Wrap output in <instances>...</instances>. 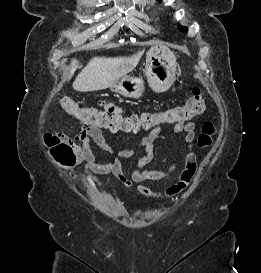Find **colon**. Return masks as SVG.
<instances>
[{
	"label": "colon",
	"instance_id": "5ec220e1",
	"mask_svg": "<svg viewBox=\"0 0 261 273\" xmlns=\"http://www.w3.org/2000/svg\"><path fill=\"white\" fill-rule=\"evenodd\" d=\"M60 103L62 108L70 115L85 124L102 127L111 131L127 132L156 127L161 124L186 122L201 115L206 109V101L199 88H194L191 96L187 99L185 104L180 107L155 113L144 112L140 115H131L128 117L110 115L94 108H85L80 102L66 96L61 98ZM215 131L216 129L213 123L206 122L202 126L198 136V147L201 149L208 148L212 144ZM43 139L49 151V155L54 162L64 167L74 165L76 156L72 146L64 135L48 132L44 134ZM185 187V181H178L171 186L172 192H176Z\"/></svg>",
	"mask_w": 261,
	"mask_h": 273
}]
</instances>
